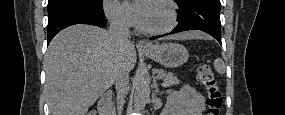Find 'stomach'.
I'll list each match as a JSON object with an SVG mask.
<instances>
[{"instance_id": "obj_1", "label": "stomach", "mask_w": 285, "mask_h": 115, "mask_svg": "<svg viewBox=\"0 0 285 115\" xmlns=\"http://www.w3.org/2000/svg\"><path fill=\"white\" fill-rule=\"evenodd\" d=\"M142 52L167 68L179 67L189 58L188 50L178 43L155 44L150 50H143Z\"/></svg>"}]
</instances>
